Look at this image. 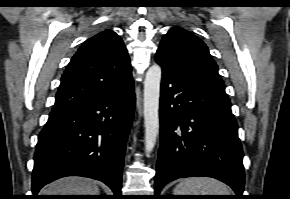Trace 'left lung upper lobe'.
Listing matches in <instances>:
<instances>
[{
	"mask_svg": "<svg viewBox=\"0 0 290 199\" xmlns=\"http://www.w3.org/2000/svg\"><path fill=\"white\" fill-rule=\"evenodd\" d=\"M171 70L225 91L218 66L207 46L197 36L179 27L163 37L156 53Z\"/></svg>",
	"mask_w": 290,
	"mask_h": 199,
	"instance_id": "5c2ea615",
	"label": "left lung upper lobe"
}]
</instances>
